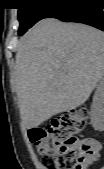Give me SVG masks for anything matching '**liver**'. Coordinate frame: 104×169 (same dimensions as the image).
Listing matches in <instances>:
<instances>
[{"label": "liver", "instance_id": "1", "mask_svg": "<svg viewBox=\"0 0 104 169\" xmlns=\"http://www.w3.org/2000/svg\"><path fill=\"white\" fill-rule=\"evenodd\" d=\"M104 74V34L47 18L21 39L15 89L26 129L85 103Z\"/></svg>", "mask_w": 104, "mask_h": 169}]
</instances>
